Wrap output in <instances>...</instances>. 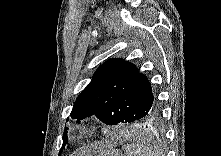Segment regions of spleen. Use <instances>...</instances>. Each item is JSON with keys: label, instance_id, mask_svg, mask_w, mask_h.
<instances>
[{"label": "spleen", "instance_id": "spleen-1", "mask_svg": "<svg viewBox=\"0 0 221 156\" xmlns=\"http://www.w3.org/2000/svg\"><path fill=\"white\" fill-rule=\"evenodd\" d=\"M126 156H157L155 151L143 144H130L124 146Z\"/></svg>", "mask_w": 221, "mask_h": 156}]
</instances>
